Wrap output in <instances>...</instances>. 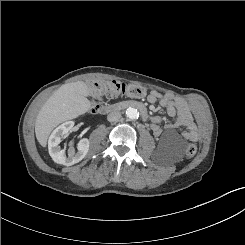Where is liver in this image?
Masks as SVG:
<instances>
[{
	"mask_svg": "<svg viewBox=\"0 0 245 245\" xmlns=\"http://www.w3.org/2000/svg\"><path fill=\"white\" fill-rule=\"evenodd\" d=\"M90 90L83 81L68 83L57 89L40 109L35 121L39 144L46 147L51 131L60 123L85 114L91 107Z\"/></svg>",
	"mask_w": 245,
	"mask_h": 245,
	"instance_id": "liver-1",
	"label": "liver"
}]
</instances>
